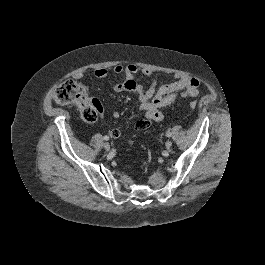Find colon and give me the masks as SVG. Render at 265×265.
<instances>
[{
  "mask_svg": "<svg viewBox=\"0 0 265 265\" xmlns=\"http://www.w3.org/2000/svg\"><path fill=\"white\" fill-rule=\"evenodd\" d=\"M54 101L61 105H75L81 117L87 122L97 120L101 112L100 104L88 97L85 88L76 81H65L55 88L52 94ZM197 106L195 101L189 103L191 109Z\"/></svg>",
  "mask_w": 265,
  "mask_h": 265,
  "instance_id": "colon-1",
  "label": "colon"
}]
</instances>
